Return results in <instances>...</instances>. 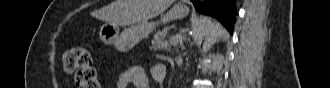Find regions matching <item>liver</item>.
I'll return each mask as SVG.
<instances>
[{
	"mask_svg": "<svg viewBox=\"0 0 330 88\" xmlns=\"http://www.w3.org/2000/svg\"><path fill=\"white\" fill-rule=\"evenodd\" d=\"M174 0H115L100 13L107 23L128 26L152 19L165 11Z\"/></svg>",
	"mask_w": 330,
	"mask_h": 88,
	"instance_id": "1",
	"label": "liver"
}]
</instances>
